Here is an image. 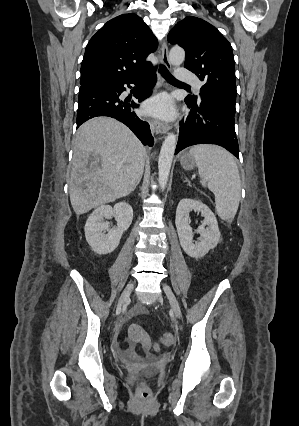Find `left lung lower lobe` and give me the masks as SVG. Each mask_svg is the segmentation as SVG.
<instances>
[{
    "mask_svg": "<svg viewBox=\"0 0 299 426\" xmlns=\"http://www.w3.org/2000/svg\"><path fill=\"white\" fill-rule=\"evenodd\" d=\"M185 102L191 112L185 122H181L175 154L196 144H216L239 158L234 128L235 108L214 98H202L201 102H197L186 97Z\"/></svg>",
    "mask_w": 299,
    "mask_h": 426,
    "instance_id": "obj_1",
    "label": "left lung lower lobe"
}]
</instances>
